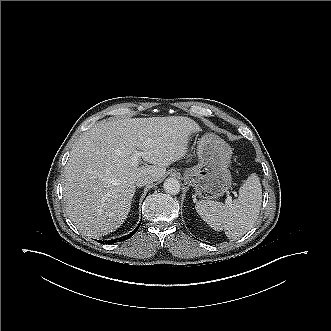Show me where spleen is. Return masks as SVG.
I'll return each mask as SVG.
<instances>
[{"label":"spleen","mask_w":331,"mask_h":331,"mask_svg":"<svg viewBox=\"0 0 331 331\" xmlns=\"http://www.w3.org/2000/svg\"><path fill=\"white\" fill-rule=\"evenodd\" d=\"M262 187L259 178L251 174L239 190V197L225 204L201 200L196 203L200 217L216 231H225L230 239H237L248 232L259 213Z\"/></svg>","instance_id":"3e777b00"}]
</instances>
